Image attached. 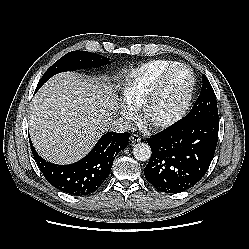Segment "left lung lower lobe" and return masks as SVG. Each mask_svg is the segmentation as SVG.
I'll use <instances>...</instances> for the list:
<instances>
[{"mask_svg": "<svg viewBox=\"0 0 249 249\" xmlns=\"http://www.w3.org/2000/svg\"><path fill=\"white\" fill-rule=\"evenodd\" d=\"M219 121L182 118L147 138L152 150L144 174L157 190L179 193L206 173L215 153Z\"/></svg>", "mask_w": 249, "mask_h": 249, "instance_id": "obj_1", "label": "left lung lower lobe"}]
</instances>
